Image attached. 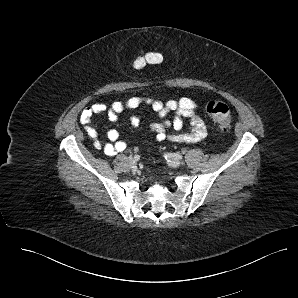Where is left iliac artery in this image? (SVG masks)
Returning <instances> with one entry per match:
<instances>
[{
  "mask_svg": "<svg viewBox=\"0 0 298 298\" xmlns=\"http://www.w3.org/2000/svg\"><path fill=\"white\" fill-rule=\"evenodd\" d=\"M165 157L166 158L178 159V160L183 158L182 155L179 154V153H167V154H165Z\"/></svg>",
  "mask_w": 298,
  "mask_h": 298,
  "instance_id": "44dca946",
  "label": "left iliac artery"
}]
</instances>
